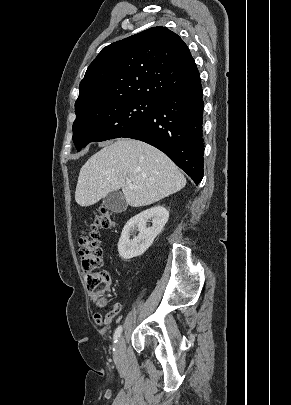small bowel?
Returning <instances> with one entry per match:
<instances>
[{
    "label": "small bowel",
    "instance_id": "obj_1",
    "mask_svg": "<svg viewBox=\"0 0 291 405\" xmlns=\"http://www.w3.org/2000/svg\"><path fill=\"white\" fill-rule=\"evenodd\" d=\"M120 309L119 304H114L113 308L110 312L107 313L105 317H102L101 314H95L94 321L97 325L108 324L114 318V316L118 313Z\"/></svg>",
    "mask_w": 291,
    "mask_h": 405
}]
</instances>
